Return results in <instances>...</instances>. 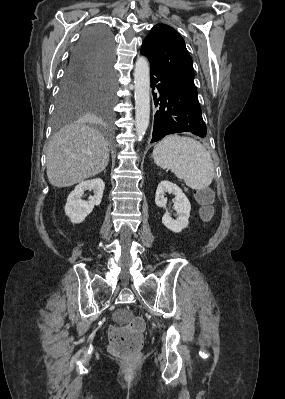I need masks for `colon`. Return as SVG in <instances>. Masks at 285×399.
<instances>
[{
	"instance_id": "obj_1",
	"label": "colon",
	"mask_w": 285,
	"mask_h": 399,
	"mask_svg": "<svg viewBox=\"0 0 285 399\" xmlns=\"http://www.w3.org/2000/svg\"><path fill=\"white\" fill-rule=\"evenodd\" d=\"M197 197L203 206L202 215L207 220L212 214L210 194L207 190H201L197 193ZM143 331L144 323L136 317H131L125 324L112 328L109 332L110 351L124 358L136 356L143 344Z\"/></svg>"
}]
</instances>
